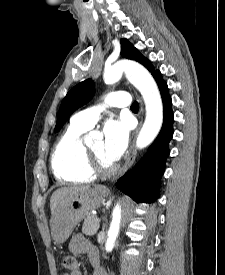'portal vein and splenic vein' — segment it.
<instances>
[{
    "instance_id": "1",
    "label": "portal vein and splenic vein",
    "mask_w": 225,
    "mask_h": 275,
    "mask_svg": "<svg viewBox=\"0 0 225 275\" xmlns=\"http://www.w3.org/2000/svg\"><path fill=\"white\" fill-rule=\"evenodd\" d=\"M96 222H98V223L100 222V219L98 217L96 218Z\"/></svg>"
}]
</instances>
